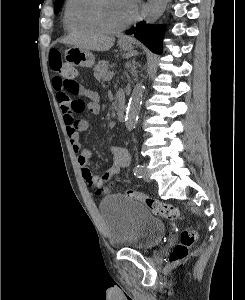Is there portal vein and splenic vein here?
Listing matches in <instances>:
<instances>
[{
    "instance_id": "portal-vein-and-splenic-vein-1",
    "label": "portal vein and splenic vein",
    "mask_w": 245,
    "mask_h": 300,
    "mask_svg": "<svg viewBox=\"0 0 245 300\" xmlns=\"http://www.w3.org/2000/svg\"><path fill=\"white\" fill-rule=\"evenodd\" d=\"M115 75V73L114 72H109V74H108V79H112V77Z\"/></svg>"
}]
</instances>
